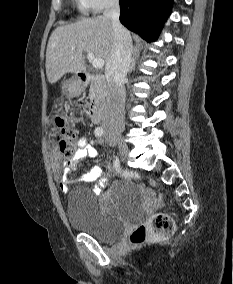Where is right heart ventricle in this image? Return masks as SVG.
<instances>
[{"label": "right heart ventricle", "mask_w": 233, "mask_h": 284, "mask_svg": "<svg viewBox=\"0 0 233 284\" xmlns=\"http://www.w3.org/2000/svg\"><path fill=\"white\" fill-rule=\"evenodd\" d=\"M79 5H80L81 8H85L86 7L84 2H83V0H79Z\"/></svg>", "instance_id": "obj_1"}]
</instances>
